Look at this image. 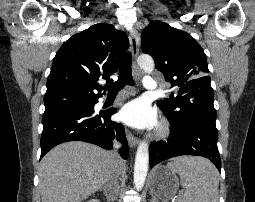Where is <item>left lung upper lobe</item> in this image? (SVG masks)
<instances>
[{
  "label": "left lung upper lobe",
  "mask_w": 255,
  "mask_h": 202,
  "mask_svg": "<svg viewBox=\"0 0 255 202\" xmlns=\"http://www.w3.org/2000/svg\"><path fill=\"white\" fill-rule=\"evenodd\" d=\"M142 51L150 54L156 68L171 86L169 105L161 100L157 105L174 128L200 123L216 127L214 95L206 55L188 33L161 21H152L142 32Z\"/></svg>",
  "instance_id": "left-lung-upper-lobe-1"
}]
</instances>
